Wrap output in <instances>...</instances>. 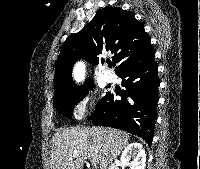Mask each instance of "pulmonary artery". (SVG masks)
Masks as SVG:
<instances>
[{"instance_id":"obj_1","label":"pulmonary artery","mask_w":200,"mask_h":169,"mask_svg":"<svg viewBox=\"0 0 200 169\" xmlns=\"http://www.w3.org/2000/svg\"><path fill=\"white\" fill-rule=\"evenodd\" d=\"M102 79L107 82V83H110V82H113L115 80V76L113 73L109 72L108 70H105L103 73H102Z\"/></svg>"}]
</instances>
